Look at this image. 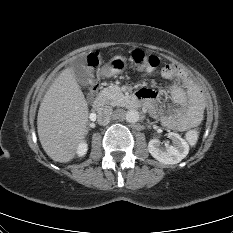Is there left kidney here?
I'll return each instance as SVG.
<instances>
[{
    "instance_id": "obj_1",
    "label": "left kidney",
    "mask_w": 233,
    "mask_h": 233,
    "mask_svg": "<svg viewBox=\"0 0 233 233\" xmlns=\"http://www.w3.org/2000/svg\"><path fill=\"white\" fill-rule=\"evenodd\" d=\"M167 136L172 140V145L163 148L158 139H152L148 144L149 153L164 164H177L187 156L189 144L177 133L170 132Z\"/></svg>"
}]
</instances>
